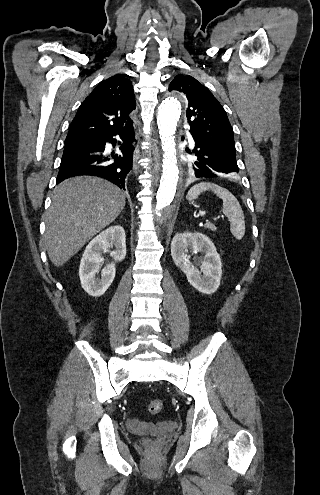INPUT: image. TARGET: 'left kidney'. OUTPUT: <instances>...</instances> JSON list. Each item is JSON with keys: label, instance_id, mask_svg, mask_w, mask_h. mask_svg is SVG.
Wrapping results in <instances>:
<instances>
[{"label": "left kidney", "instance_id": "5707ae66", "mask_svg": "<svg viewBox=\"0 0 320 495\" xmlns=\"http://www.w3.org/2000/svg\"><path fill=\"white\" fill-rule=\"evenodd\" d=\"M189 251L205 254L200 270L190 263L187 255ZM171 255L195 289L204 294H212L217 290L222 275V263L213 242L207 236L190 232L175 235L171 242Z\"/></svg>", "mask_w": 320, "mask_h": 495}]
</instances>
